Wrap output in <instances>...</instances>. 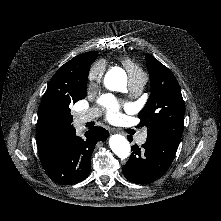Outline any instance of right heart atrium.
<instances>
[{"mask_svg":"<svg viewBox=\"0 0 221 221\" xmlns=\"http://www.w3.org/2000/svg\"><path fill=\"white\" fill-rule=\"evenodd\" d=\"M104 70L105 65L100 61L94 63L90 67L87 75V82L90 88L95 86L101 80Z\"/></svg>","mask_w":221,"mask_h":221,"instance_id":"right-heart-atrium-1","label":"right heart atrium"}]
</instances>
